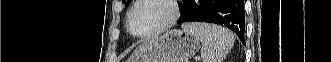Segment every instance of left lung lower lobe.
<instances>
[{"instance_id": "left-lung-lower-lobe-1", "label": "left lung lower lobe", "mask_w": 331, "mask_h": 62, "mask_svg": "<svg viewBox=\"0 0 331 62\" xmlns=\"http://www.w3.org/2000/svg\"><path fill=\"white\" fill-rule=\"evenodd\" d=\"M210 22L233 30L245 44V13L243 0H187L184 13L177 23Z\"/></svg>"}]
</instances>
